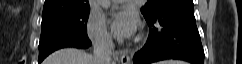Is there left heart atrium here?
I'll use <instances>...</instances> for the list:
<instances>
[{"label": "left heart atrium", "instance_id": "obj_1", "mask_svg": "<svg viewBox=\"0 0 242 64\" xmlns=\"http://www.w3.org/2000/svg\"><path fill=\"white\" fill-rule=\"evenodd\" d=\"M138 16L131 9H122L112 17V32L118 38L132 37L138 28Z\"/></svg>", "mask_w": 242, "mask_h": 64}]
</instances>
